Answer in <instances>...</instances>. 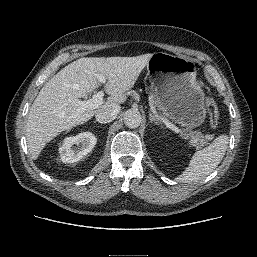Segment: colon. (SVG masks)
Returning a JSON list of instances; mask_svg holds the SVG:
<instances>
[{
  "label": "colon",
  "instance_id": "5ec220e1",
  "mask_svg": "<svg viewBox=\"0 0 257 257\" xmlns=\"http://www.w3.org/2000/svg\"><path fill=\"white\" fill-rule=\"evenodd\" d=\"M205 107L209 115V123L212 127L217 126L219 122V112L215 101L212 98L205 99Z\"/></svg>",
  "mask_w": 257,
  "mask_h": 257
}]
</instances>
